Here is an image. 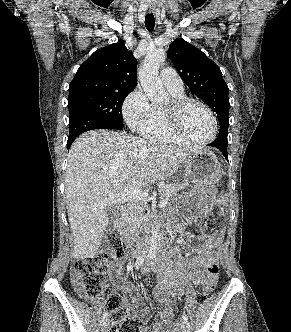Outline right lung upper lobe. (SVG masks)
I'll list each match as a JSON object with an SVG mask.
<instances>
[{"mask_svg":"<svg viewBox=\"0 0 291 332\" xmlns=\"http://www.w3.org/2000/svg\"><path fill=\"white\" fill-rule=\"evenodd\" d=\"M136 60L119 40L95 51L69 85V98L105 91H132L137 85Z\"/></svg>","mask_w":291,"mask_h":332,"instance_id":"1","label":"right lung upper lobe"}]
</instances>
